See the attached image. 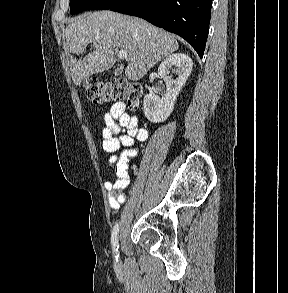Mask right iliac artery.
I'll use <instances>...</instances> for the list:
<instances>
[{
  "label": "right iliac artery",
  "instance_id": "right-iliac-artery-1",
  "mask_svg": "<svg viewBox=\"0 0 288 293\" xmlns=\"http://www.w3.org/2000/svg\"><path fill=\"white\" fill-rule=\"evenodd\" d=\"M118 232H119V225L118 223L114 226L113 230H112V234H111V243H112V248L113 251L116 253V260H118Z\"/></svg>",
  "mask_w": 288,
  "mask_h": 293
}]
</instances>
